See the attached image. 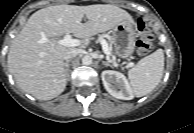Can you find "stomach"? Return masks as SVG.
Returning <instances> with one entry per match:
<instances>
[{"mask_svg":"<svg viewBox=\"0 0 194 133\" xmlns=\"http://www.w3.org/2000/svg\"><path fill=\"white\" fill-rule=\"evenodd\" d=\"M111 33L116 55L123 59L129 58L134 52L136 43L133 21H122L112 28Z\"/></svg>","mask_w":194,"mask_h":133,"instance_id":"1","label":"stomach"}]
</instances>
